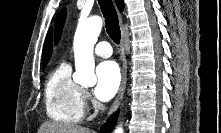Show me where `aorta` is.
<instances>
[{
    "label": "aorta",
    "mask_w": 221,
    "mask_h": 133,
    "mask_svg": "<svg viewBox=\"0 0 221 133\" xmlns=\"http://www.w3.org/2000/svg\"><path fill=\"white\" fill-rule=\"evenodd\" d=\"M102 26L103 21L99 16L80 21L77 26L73 43L76 69L73 74V80L76 83L87 86H92L96 83L93 49ZM115 133H124L123 128L119 126Z\"/></svg>",
    "instance_id": "aorta-1"
}]
</instances>
